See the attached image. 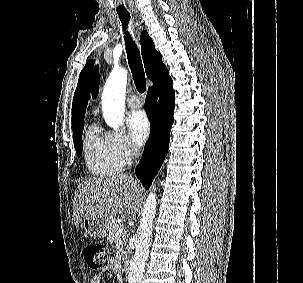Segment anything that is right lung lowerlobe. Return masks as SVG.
I'll list each match as a JSON object with an SVG mask.
<instances>
[{"mask_svg":"<svg viewBox=\"0 0 303 283\" xmlns=\"http://www.w3.org/2000/svg\"><path fill=\"white\" fill-rule=\"evenodd\" d=\"M174 106L171 78L149 88L146 96V111L151 130L136 168V176L147 189L162 166L168 151Z\"/></svg>","mask_w":303,"mask_h":283,"instance_id":"obj_1","label":"right lung lower lobe"}]
</instances>
